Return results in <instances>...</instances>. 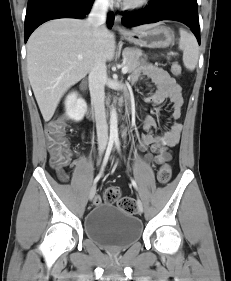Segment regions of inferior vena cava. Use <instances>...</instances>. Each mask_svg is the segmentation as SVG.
Wrapping results in <instances>:
<instances>
[{
	"label": "inferior vena cava",
	"instance_id": "602c4592",
	"mask_svg": "<svg viewBox=\"0 0 231 281\" xmlns=\"http://www.w3.org/2000/svg\"><path fill=\"white\" fill-rule=\"evenodd\" d=\"M109 0H96L88 17V22L94 28L97 42H100L104 23L107 18ZM89 90L93 104L97 139L100 147H105L108 142V125L105 112L104 86L107 80L105 60L98 57L89 73Z\"/></svg>",
	"mask_w": 231,
	"mask_h": 281
}]
</instances>
